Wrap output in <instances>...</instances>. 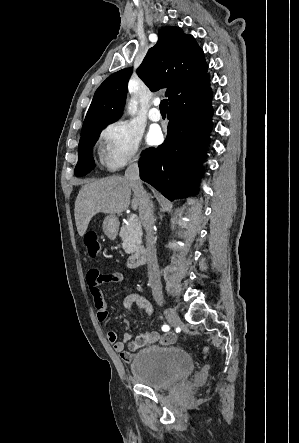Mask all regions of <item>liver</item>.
Here are the masks:
<instances>
[{
    "label": "liver",
    "mask_w": 299,
    "mask_h": 443,
    "mask_svg": "<svg viewBox=\"0 0 299 443\" xmlns=\"http://www.w3.org/2000/svg\"><path fill=\"white\" fill-rule=\"evenodd\" d=\"M130 205L133 210H137L139 201L135 194L131 200V186L125 177L110 176L87 181L75 201L74 216L78 234L84 236L96 214H121Z\"/></svg>",
    "instance_id": "obj_1"
}]
</instances>
